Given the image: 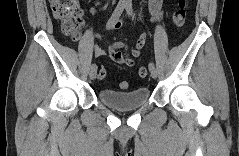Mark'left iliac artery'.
I'll list each match as a JSON object with an SVG mask.
<instances>
[{"label": "left iliac artery", "mask_w": 239, "mask_h": 156, "mask_svg": "<svg viewBox=\"0 0 239 156\" xmlns=\"http://www.w3.org/2000/svg\"><path fill=\"white\" fill-rule=\"evenodd\" d=\"M125 8H126L127 14L129 16H132L133 15L132 3L131 2L126 3ZM148 66H149V68L155 67L153 62H150Z\"/></svg>", "instance_id": "left-iliac-artery-1"}]
</instances>
